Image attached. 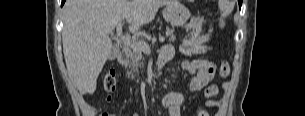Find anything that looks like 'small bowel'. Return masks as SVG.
<instances>
[{
    "label": "small bowel",
    "instance_id": "small-bowel-1",
    "mask_svg": "<svg viewBox=\"0 0 305 116\" xmlns=\"http://www.w3.org/2000/svg\"><path fill=\"white\" fill-rule=\"evenodd\" d=\"M174 56V48L171 45H166L160 52V60L168 62ZM181 66L188 71L192 78L190 81V90L200 91L204 89V95L207 98L206 107H216L219 102L215 100L218 95L219 88L211 81L216 75V66L213 62L207 59H195L192 61H183ZM185 102V97L181 93L171 92L162 98V105L169 112V116H181L182 107ZM197 116H209V114L202 110L196 109Z\"/></svg>",
    "mask_w": 305,
    "mask_h": 116
}]
</instances>
